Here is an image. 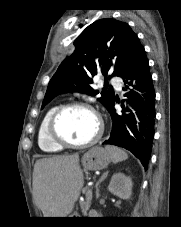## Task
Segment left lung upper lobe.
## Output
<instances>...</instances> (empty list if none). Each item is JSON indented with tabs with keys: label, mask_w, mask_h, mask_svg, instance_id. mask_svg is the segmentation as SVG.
Listing matches in <instances>:
<instances>
[{
	"label": "left lung upper lobe",
	"mask_w": 181,
	"mask_h": 227,
	"mask_svg": "<svg viewBox=\"0 0 181 227\" xmlns=\"http://www.w3.org/2000/svg\"><path fill=\"white\" fill-rule=\"evenodd\" d=\"M138 43L137 35L125 22L105 18L89 25L74 41V53L51 78L42 108L56 95L68 91L97 95L99 91L89 84L99 72L105 76V85L98 100L108 108L114 100L112 87L107 88L108 78L121 75ZM108 72L112 75L107 78Z\"/></svg>",
	"instance_id": "left-lung-upper-lobe-1"
}]
</instances>
